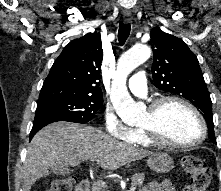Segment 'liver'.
Returning a JSON list of instances; mask_svg holds the SVG:
<instances>
[{
  "label": "liver",
  "mask_w": 221,
  "mask_h": 191,
  "mask_svg": "<svg viewBox=\"0 0 221 191\" xmlns=\"http://www.w3.org/2000/svg\"><path fill=\"white\" fill-rule=\"evenodd\" d=\"M152 152L115 140L97 128L66 122L50 124L32 139L24 162V191L40 178L49 175L57 164L77 166L95 157L104 170H116Z\"/></svg>",
  "instance_id": "liver-1"
}]
</instances>
